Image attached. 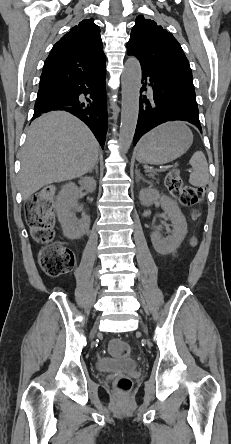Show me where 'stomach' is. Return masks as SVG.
Masks as SVG:
<instances>
[{
    "label": "stomach",
    "mask_w": 231,
    "mask_h": 444,
    "mask_svg": "<svg viewBox=\"0 0 231 444\" xmlns=\"http://www.w3.org/2000/svg\"><path fill=\"white\" fill-rule=\"evenodd\" d=\"M193 134L182 122H168L145 135L137 145L141 163L162 165L180 157L192 145Z\"/></svg>",
    "instance_id": "obj_1"
}]
</instances>
